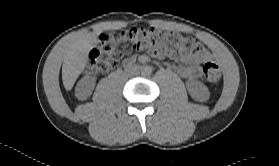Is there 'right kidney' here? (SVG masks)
<instances>
[{"instance_id": "right-kidney-1", "label": "right kidney", "mask_w": 279, "mask_h": 166, "mask_svg": "<svg viewBox=\"0 0 279 166\" xmlns=\"http://www.w3.org/2000/svg\"><path fill=\"white\" fill-rule=\"evenodd\" d=\"M94 89V81L91 77H84L82 78L76 87V95L79 99L84 100L86 99Z\"/></svg>"}]
</instances>
